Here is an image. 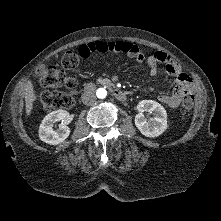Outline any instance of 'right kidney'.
I'll return each instance as SVG.
<instances>
[{
  "label": "right kidney",
  "mask_w": 221,
  "mask_h": 221,
  "mask_svg": "<svg viewBox=\"0 0 221 221\" xmlns=\"http://www.w3.org/2000/svg\"><path fill=\"white\" fill-rule=\"evenodd\" d=\"M69 113L66 110H56L49 113L42 120L39 127V138L43 142L51 145H56L63 142L70 134V129L67 126ZM60 121L58 129L53 128V124Z\"/></svg>",
  "instance_id": "1"
}]
</instances>
